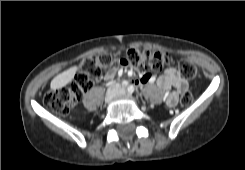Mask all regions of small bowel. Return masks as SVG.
Listing matches in <instances>:
<instances>
[{"instance_id": "c3829d8e", "label": "small bowel", "mask_w": 245, "mask_h": 170, "mask_svg": "<svg viewBox=\"0 0 245 170\" xmlns=\"http://www.w3.org/2000/svg\"><path fill=\"white\" fill-rule=\"evenodd\" d=\"M116 70L112 69L107 73L108 78H113ZM155 78L149 74H143L137 81L138 84H150ZM157 85L162 91H169L166 97V104L173 108L178 104L179 97L188 90V82L181 77L174 67L166 69L157 79Z\"/></svg>"}]
</instances>
